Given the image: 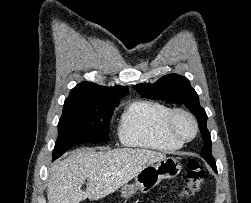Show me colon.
Returning <instances> with one entry per match:
<instances>
[{"instance_id":"obj_1","label":"colon","mask_w":251,"mask_h":203,"mask_svg":"<svg viewBox=\"0 0 251 203\" xmlns=\"http://www.w3.org/2000/svg\"><path fill=\"white\" fill-rule=\"evenodd\" d=\"M187 180L182 194L185 197H193L200 192L204 184L205 169L197 160H190L186 170Z\"/></svg>"}]
</instances>
